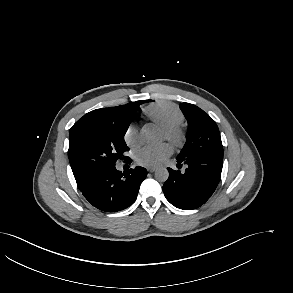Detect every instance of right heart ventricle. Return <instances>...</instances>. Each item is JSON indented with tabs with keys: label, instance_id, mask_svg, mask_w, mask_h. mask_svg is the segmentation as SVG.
Wrapping results in <instances>:
<instances>
[{
	"label": "right heart ventricle",
	"instance_id": "obj_1",
	"mask_svg": "<svg viewBox=\"0 0 293 293\" xmlns=\"http://www.w3.org/2000/svg\"><path fill=\"white\" fill-rule=\"evenodd\" d=\"M146 117L162 128L181 125L184 115L180 109L172 103L160 102L147 107L144 110Z\"/></svg>",
	"mask_w": 293,
	"mask_h": 293
}]
</instances>
